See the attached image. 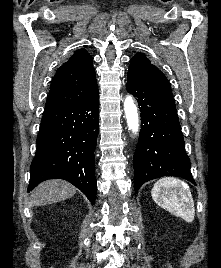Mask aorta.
<instances>
[{
    "label": "aorta",
    "mask_w": 221,
    "mask_h": 268,
    "mask_svg": "<svg viewBox=\"0 0 221 268\" xmlns=\"http://www.w3.org/2000/svg\"><path fill=\"white\" fill-rule=\"evenodd\" d=\"M124 111L127 121V126L133 134H137L139 130V116L134 99L131 95L126 96L124 101Z\"/></svg>",
    "instance_id": "aorta-1"
}]
</instances>
